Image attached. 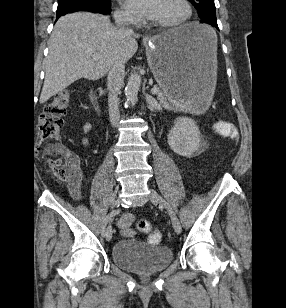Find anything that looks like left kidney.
<instances>
[{
	"instance_id": "left-kidney-1",
	"label": "left kidney",
	"mask_w": 286,
	"mask_h": 308,
	"mask_svg": "<svg viewBox=\"0 0 286 308\" xmlns=\"http://www.w3.org/2000/svg\"><path fill=\"white\" fill-rule=\"evenodd\" d=\"M170 148L178 155L192 156L200 147V131L195 121L177 117L167 136Z\"/></svg>"
}]
</instances>
